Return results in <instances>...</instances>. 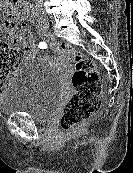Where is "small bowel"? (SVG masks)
<instances>
[{
  "label": "small bowel",
  "instance_id": "obj_1",
  "mask_svg": "<svg viewBox=\"0 0 133 173\" xmlns=\"http://www.w3.org/2000/svg\"><path fill=\"white\" fill-rule=\"evenodd\" d=\"M19 43H17V52L26 58H33L36 54L34 36L30 32H25L21 35Z\"/></svg>",
  "mask_w": 133,
  "mask_h": 173
}]
</instances>
